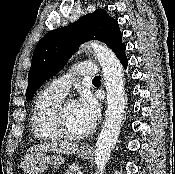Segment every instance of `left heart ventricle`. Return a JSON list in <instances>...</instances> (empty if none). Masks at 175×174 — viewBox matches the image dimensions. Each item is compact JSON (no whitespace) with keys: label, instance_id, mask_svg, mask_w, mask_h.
I'll return each instance as SVG.
<instances>
[{"label":"left heart ventricle","instance_id":"b2bd125f","mask_svg":"<svg viewBox=\"0 0 175 174\" xmlns=\"http://www.w3.org/2000/svg\"><path fill=\"white\" fill-rule=\"evenodd\" d=\"M65 122L69 131L73 133H82L89 129L81 117L75 102L67 104L65 109Z\"/></svg>","mask_w":175,"mask_h":174}]
</instances>
